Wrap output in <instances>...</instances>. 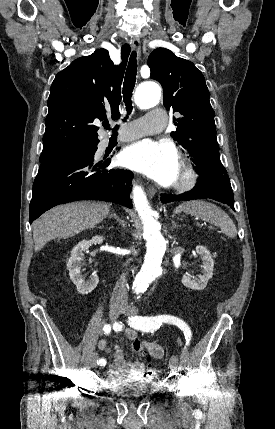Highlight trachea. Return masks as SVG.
<instances>
[{"label":"trachea","mask_w":275,"mask_h":429,"mask_svg":"<svg viewBox=\"0 0 275 429\" xmlns=\"http://www.w3.org/2000/svg\"><path fill=\"white\" fill-rule=\"evenodd\" d=\"M136 52L133 51L130 59H129V63H128V67L126 70V74H125V78H124V83H123V98H124V102L126 105V110H127V114H130L133 107H132V101H131V97H132V92L135 86V82H136V74H137V60H136ZM127 118V117H126ZM123 121H126L125 119H123ZM104 128L109 129L110 125L108 122H105L103 124ZM118 129V126H116L113 131H116Z\"/></svg>","instance_id":"trachea-1"}]
</instances>
